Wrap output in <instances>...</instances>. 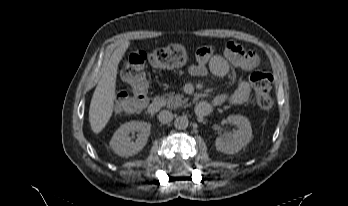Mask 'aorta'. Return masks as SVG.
Returning a JSON list of instances; mask_svg holds the SVG:
<instances>
[{
	"label": "aorta",
	"instance_id": "1",
	"mask_svg": "<svg viewBox=\"0 0 348 206\" xmlns=\"http://www.w3.org/2000/svg\"><path fill=\"white\" fill-rule=\"evenodd\" d=\"M189 125V120L186 116H178L175 119L174 126L176 129L185 130Z\"/></svg>",
	"mask_w": 348,
	"mask_h": 206
}]
</instances>
